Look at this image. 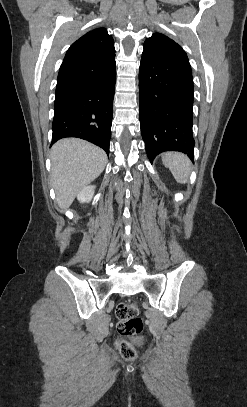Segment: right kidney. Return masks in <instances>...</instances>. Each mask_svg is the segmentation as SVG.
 <instances>
[{
    "label": "right kidney",
    "mask_w": 247,
    "mask_h": 407,
    "mask_svg": "<svg viewBox=\"0 0 247 407\" xmlns=\"http://www.w3.org/2000/svg\"><path fill=\"white\" fill-rule=\"evenodd\" d=\"M95 186H86L84 187L77 195V199L81 203H88L91 201L94 195Z\"/></svg>",
    "instance_id": "obj_1"
}]
</instances>
